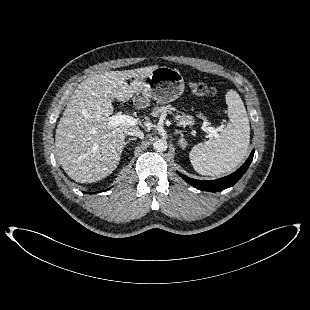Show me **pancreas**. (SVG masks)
<instances>
[{
	"instance_id": "1",
	"label": "pancreas",
	"mask_w": 310,
	"mask_h": 310,
	"mask_svg": "<svg viewBox=\"0 0 310 310\" xmlns=\"http://www.w3.org/2000/svg\"><path fill=\"white\" fill-rule=\"evenodd\" d=\"M175 108H173L171 105H167V106H157L153 109V111L151 112V115L156 117L159 116L160 114H164L166 112L168 113H172V111H174ZM176 119L179 121H182L186 124H190L194 121L193 116L190 115H182V116H176Z\"/></svg>"
}]
</instances>
